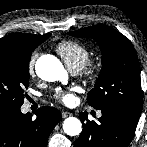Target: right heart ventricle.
Listing matches in <instances>:
<instances>
[{"label": "right heart ventricle", "mask_w": 147, "mask_h": 147, "mask_svg": "<svg viewBox=\"0 0 147 147\" xmlns=\"http://www.w3.org/2000/svg\"><path fill=\"white\" fill-rule=\"evenodd\" d=\"M56 51L70 70H81L90 55V50L86 45L74 40L60 42L56 46Z\"/></svg>", "instance_id": "right-heart-ventricle-1"}]
</instances>
